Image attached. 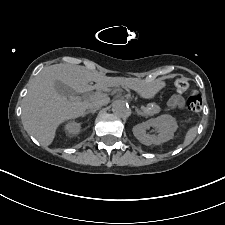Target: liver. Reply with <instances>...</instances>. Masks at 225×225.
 Listing matches in <instances>:
<instances>
[{
	"label": "liver",
	"instance_id": "6515ba94",
	"mask_svg": "<svg viewBox=\"0 0 225 225\" xmlns=\"http://www.w3.org/2000/svg\"><path fill=\"white\" fill-rule=\"evenodd\" d=\"M60 81L76 93H84L94 87L90 82H96L98 90H105L114 85V79L92 72L83 66L70 64H55L44 68L29 83L28 93L23 100L22 121L28 134L34 136L43 146H49L56 130L63 122L85 114L88 106L93 103L96 95L81 101L77 97L67 98L55 89V82ZM146 94V91H143ZM105 97V96H103ZM109 99L106 97V103Z\"/></svg>",
	"mask_w": 225,
	"mask_h": 225
}]
</instances>
